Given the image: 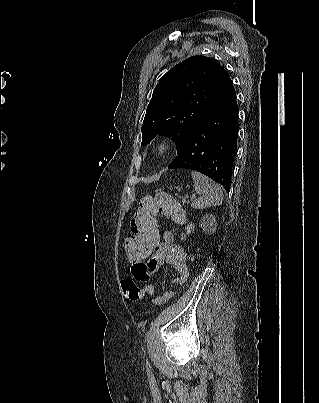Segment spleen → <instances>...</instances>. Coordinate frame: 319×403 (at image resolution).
I'll return each mask as SVG.
<instances>
[{"instance_id":"1","label":"spleen","mask_w":319,"mask_h":403,"mask_svg":"<svg viewBox=\"0 0 319 403\" xmlns=\"http://www.w3.org/2000/svg\"><path fill=\"white\" fill-rule=\"evenodd\" d=\"M192 178L194 182V190L198 194L191 206L193 208H207L214 205H220L223 201L222 189L219 185L215 184L210 178L204 174L192 171Z\"/></svg>"}]
</instances>
